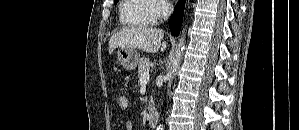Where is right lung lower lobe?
Masks as SVG:
<instances>
[{
	"label": "right lung lower lobe",
	"instance_id": "98d812e1",
	"mask_svg": "<svg viewBox=\"0 0 299 130\" xmlns=\"http://www.w3.org/2000/svg\"><path fill=\"white\" fill-rule=\"evenodd\" d=\"M185 0H179L174 8V13L171 17L169 28L175 36L180 33V27L183 20Z\"/></svg>",
	"mask_w": 299,
	"mask_h": 130
}]
</instances>
